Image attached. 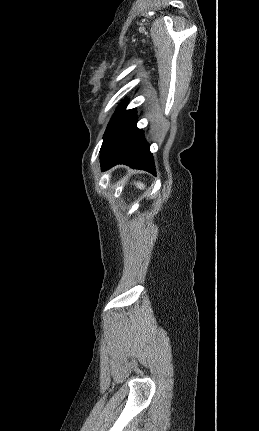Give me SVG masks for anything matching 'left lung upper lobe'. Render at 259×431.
I'll use <instances>...</instances> for the list:
<instances>
[{"label": "left lung upper lobe", "instance_id": "5c2ea615", "mask_svg": "<svg viewBox=\"0 0 259 431\" xmlns=\"http://www.w3.org/2000/svg\"><path fill=\"white\" fill-rule=\"evenodd\" d=\"M128 101H124L116 110L111 118L103 137V143L107 140L115 128L130 114L134 109L126 110Z\"/></svg>", "mask_w": 259, "mask_h": 431}]
</instances>
